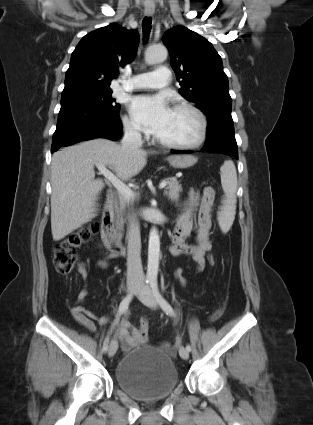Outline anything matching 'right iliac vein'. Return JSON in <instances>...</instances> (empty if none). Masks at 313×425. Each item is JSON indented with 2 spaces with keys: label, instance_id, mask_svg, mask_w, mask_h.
Masks as SVG:
<instances>
[{
  "label": "right iliac vein",
  "instance_id": "obj_1",
  "mask_svg": "<svg viewBox=\"0 0 313 425\" xmlns=\"http://www.w3.org/2000/svg\"><path fill=\"white\" fill-rule=\"evenodd\" d=\"M138 287H139V284L137 282H130V283L127 284V291H128V293H132ZM117 348H118L117 342L115 340H112L110 342L109 349H108V355H109V357L114 356V354L117 351Z\"/></svg>",
  "mask_w": 313,
  "mask_h": 425
}]
</instances>
